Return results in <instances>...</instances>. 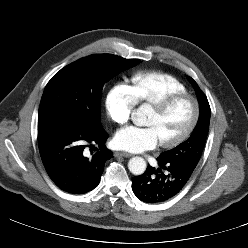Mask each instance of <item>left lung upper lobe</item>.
<instances>
[{
	"label": "left lung upper lobe",
	"mask_w": 248,
	"mask_h": 248,
	"mask_svg": "<svg viewBox=\"0 0 248 248\" xmlns=\"http://www.w3.org/2000/svg\"><path fill=\"white\" fill-rule=\"evenodd\" d=\"M190 82L196 90L200 105V117L191 136L177 147L163 152L158 157L163 161L172 162H193L198 163L208 135L210 123V106L206 96L203 94L197 83L189 77Z\"/></svg>",
	"instance_id": "obj_1"
}]
</instances>
